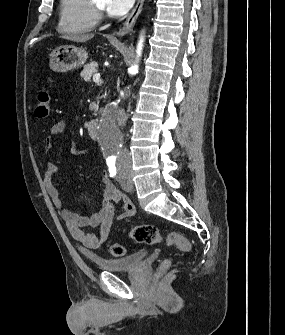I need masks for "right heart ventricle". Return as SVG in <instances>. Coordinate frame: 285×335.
I'll return each mask as SVG.
<instances>
[{
	"label": "right heart ventricle",
	"mask_w": 285,
	"mask_h": 335,
	"mask_svg": "<svg viewBox=\"0 0 285 335\" xmlns=\"http://www.w3.org/2000/svg\"><path fill=\"white\" fill-rule=\"evenodd\" d=\"M98 23L96 1H63L61 4L59 32L80 37L94 30Z\"/></svg>",
	"instance_id": "e07e8e85"
}]
</instances>
